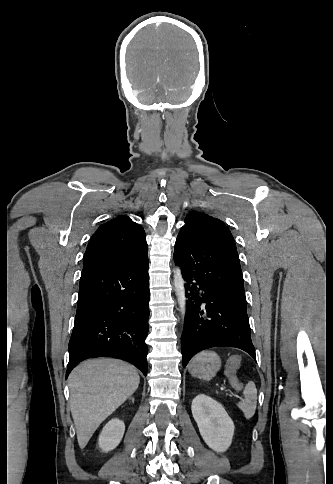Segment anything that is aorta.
<instances>
[{"instance_id":"762f6f07","label":"aorta","mask_w":333,"mask_h":484,"mask_svg":"<svg viewBox=\"0 0 333 484\" xmlns=\"http://www.w3.org/2000/svg\"><path fill=\"white\" fill-rule=\"evenodd\" d=\"M173 282H174L175 295L177 297V301L179 305V310L182 314V317H184L185 310H186V295H185L184 280L181 274L180 267H176L174 269Z\"/></svg>"}]
</instances>
